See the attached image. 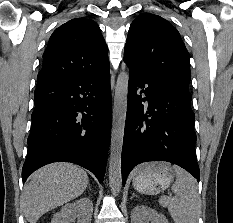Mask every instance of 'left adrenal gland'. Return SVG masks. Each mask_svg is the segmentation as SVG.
Masks as SVG:
<instances>
[{
    "label": "left adrenal gland",
    "instance_id": "left-adrenal-gland-1",
    "mask_svg": "<svg viewBox=\"0 0 233 223\" xmlns=\"http://www.w3.org/2000/svg\"><path fill=\"white\" fill-rule=\"evenodd\" d=\"M132 197H137V195H135V193H132Z\"/></svg>",
    "mask_w": 233,
    "mask_h": 223
}]
</instances>
